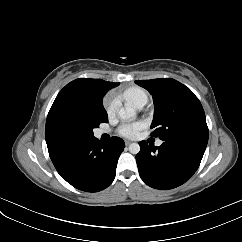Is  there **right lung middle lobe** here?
<instances>
[{"mask_svg": "<svg viewBox=\"0 0 242 242\" xmlns=\"http://www.w3.org/2000/svg\"><path fill=\"white\" fill-rule=\"evenodd\" d=\"M107 113L102 110L92 113H69L62 118L64 129L76 136H93V129L107 123Z\"/></svg>", "mask_w": 242, "mask_h": 242, "instance_id": "obj_1", "label": "right lung middle lobe"}]
</instances>
